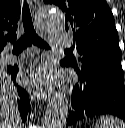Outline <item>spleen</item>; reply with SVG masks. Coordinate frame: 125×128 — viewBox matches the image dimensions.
I'll return each mask as SVG.
<instances>
[{
    "label": "spleen",
    "instance_id": "obj_1",
    "mask_svg": "<svg viewBox=\"0 0 125 128\" xmlns=\"http://www.w3.org/2000/svg\"><path fill=\"white\" fill-rule=\"evenodd\" d=\"M95 128H125V123L116 117L102 115L96 120Z\"/></svg>",
    "mask_w": 125,
    "mask_h": 128
}]
</instances>
